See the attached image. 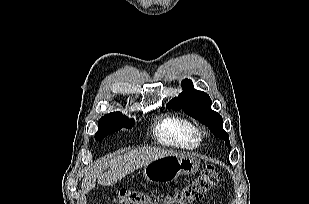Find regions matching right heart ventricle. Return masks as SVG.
I'll return each instance as SVG.
<instances>
[{
	"label": "right heart ventricle",
	"mask_w": 309,
	"mask_h": 204,
	"mask_svg": "<svg viewBox=\"0 0 309 204\" xmlns=\"http://www.w3.org/2000/svg\"><path fill=\"white\" fill-rule=\"evenodd\" d=\"M157 139L165 144L193 148L200 143L194 124L183 116H163L155 126Z\"/></svg>",
	"instance_id": "right-heart-ventricle-1"
}]
</instances>
